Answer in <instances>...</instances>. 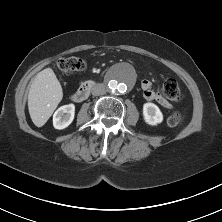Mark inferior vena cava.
Returning <instances> with one entry per match:
<instances>
[{
  "label": "inferior vena cava",
  "mask_w": 222,
  "mask_h": 222,
  "mask_svg": "<svg viewBox=\"0 0 222 222\" xmlns=\"http://www.w3.org/2000/svg\"><path fill=\"white\" fill-rule=\"evenodd\" d=\"M107 91L106 86L102 83H98L92 87L91 92L94 96H99L105 94Z\"/></svg>",
  "instance_id": "1"
}]
</instances>
